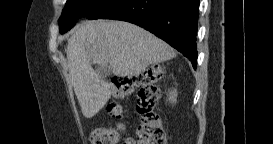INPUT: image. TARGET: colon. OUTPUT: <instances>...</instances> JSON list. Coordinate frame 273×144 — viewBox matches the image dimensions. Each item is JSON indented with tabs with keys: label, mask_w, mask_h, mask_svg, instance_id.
<instances>
[{
	"label": "colon",
	"mask_w": 273,
	"mask_h": 144,
	"mask_svg": "<svg viewBox=\"0 0 273 144\" xmlns=\"http://www.w3.org/2000/svg\"><path fill=\"white\" fill-rule=\"evenodd\" d=\"M162 71L158 67L149 68L136 77L118 76L112 79L114 93L127 96L135 87H139L137 109L142 116V121L137 129V144H165L166 133L162 126L161 118L155 108L159 100L160 89L157 85ZM108 111L114 116L122 113L118 102L108 105ZM119 141V129L112 126L96 127L91 134L92 144H116Z\"/></svg>",
	"instance_id": "colon-1"
}]
</instances>
